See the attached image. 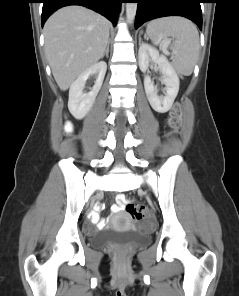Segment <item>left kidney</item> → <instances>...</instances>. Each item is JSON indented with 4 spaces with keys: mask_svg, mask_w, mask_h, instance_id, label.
<instances>
[{
    "mask_svg": "<svg viewBox=\"0 0 239 296\" xmlns=\"http://www.w3.org/2000/svg\"><path fill=\"white\" fill-rule=\"evenodd\" d=\"M139 68L145 73L150 61L158 64L162 73V82L166 86L165 96H158V90L154 87L148 75L144 77V88L151 107L158 113H166L170 110L179 91V77L169 61L153 46L142 43L138 52Z\"/></svg>",
    "mask_w": 239,
    "mask_h": 296,
    "instance_id": "left-kidney-1",
    "label": "left kidney"
}]
</instances>
